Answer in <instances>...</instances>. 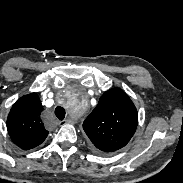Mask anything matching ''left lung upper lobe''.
<instances>
[{
	"label": "left lung upper lobe",
	"instance_id": "5c2ea615",
	"mask_svg": "<svg viewBox=\"0 0 183 183\" xmlns=\"http://www.w3.org/2000/svg\"><path fill=\"white\" fill-rule=\"evenodd\" d=\"M138 123L135 105L120 88L106 91L83 123L91 142L101 151L113 152L131 139Z\"/></svg>",
	"mask_w": 183,
	"mask_h": 183
}]
</instances>
